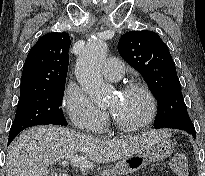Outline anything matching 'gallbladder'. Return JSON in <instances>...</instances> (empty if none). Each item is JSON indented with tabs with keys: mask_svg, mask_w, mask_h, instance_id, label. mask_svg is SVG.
Masks as SVG:
<instances>
[{
	"mask_svg": "<svg viewBox=\"0 0 205 176\" xmlns=\"http://www.w3.org/2000/svg\"><path fill=\"white\" fill-rule=\"evenodd\" d=\"M52 172V170H49V173H51Z\"/></svg>",
	"mask_w": 205,
	"mask_h": 176,
	"instance_id": "1",
	"label": "gallbladder"
}]
</instances>
